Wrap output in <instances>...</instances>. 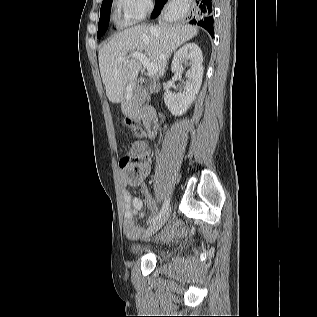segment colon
Masks as SVG:
<instances>
[{"label": "colon", "instance_id": "1", "mask_svg": "<svg viewBox=\"0 0 317 317\" xmlns=\"http://www.w3.org/2000/svg\"><path fill=\"white\" fill-rule=\"evenodd\" d=\"M126 125L131 129L136 137L142 135L140 128L133 126L130 120H126ZM120 167L126 173L129 181L136 182L141 180L148 172L146 161L133 150L132 154L124 156L120 160Z\"/></svg>", "mask_w": 317, "mask_h": 317}]
</instances>
